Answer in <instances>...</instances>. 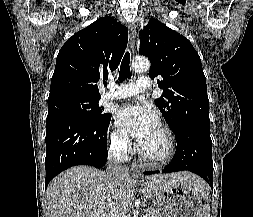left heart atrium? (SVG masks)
<instances>
[{"instance_id":"obj_1","label":"left heart atrium","mask_w":253,"mask_h":217,"mask_svg":"<svg viewBox=\"0 0 253 217\" xmlns=\"http://www.w3.org/2000/svg\"><path fill=\"white\" fill-rule=\"evenodd\" d=\"M116 123L140 144L158 127V118L148 106L127 104L118 111Z\"/></svg>"}]
</instances>
